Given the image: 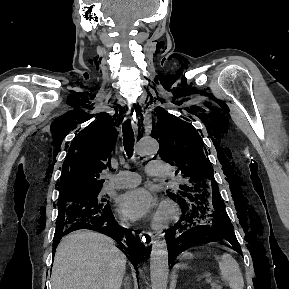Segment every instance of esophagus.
<instances>
[{
    "instance_id": "1",
    "label": "esophagus",
    "mask_w": 289,
    "mask_h": 289,
    "mask_svg": "<svg viewBox=\"0 0 289 289\" xmlns=\"http://www.w3.org/2000/svg\"><path fill=\"white\" fill-rule=\"evenodd\" d=\"M128 116L133 119L134 121V129H135V132L138 136V124H137V121L136 119L134 118V115H133V108L131 106H129V109H128ZM142 239H143V242L146 244V245H151L153 243V240H154V234L152 232H149V231H144L142 233Z\"/></svg>"
}]
</instances>
